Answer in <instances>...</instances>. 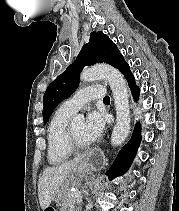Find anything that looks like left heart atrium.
<instances>
[{"mask_svg":"<svg viewBox=\"0 0 179 211\" xmlns=\"http://www.w3.org/2000/svg\"><path fill=\"white\" fill-rule=\"evenodd\" d=\"M105 128L104 115L99 111H91L88 113L84 125V136L88 142L98 140Z\"/></svg>","mask_w":179,"mask_h":211,"instance_id":"39dd6f15","label":"left heart atrium"}]
</instances>
